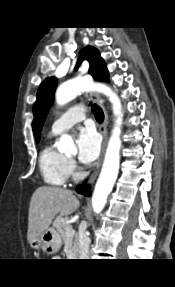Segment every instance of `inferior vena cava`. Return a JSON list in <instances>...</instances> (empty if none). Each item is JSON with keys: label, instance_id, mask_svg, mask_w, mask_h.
Listing matches in <instances>:
<instances>
[{"label": "inferior vena cava", "instance_id": "inferior-vena-cava-1", "mask_svg": "<svg viewBox=\"0 0 175 287\" xmlns=\"http://www.w3.org/2000/svg\"><path fill=\"white\" fill-rule=\"evenodd\" d=\"M86 226H83L79 231V255L80 259H88L90 239L85 233Z\"/></svg>", "mask_w": 175, "mask_h": 287}]
</instances>
